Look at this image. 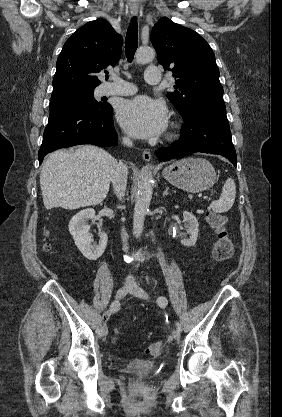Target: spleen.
<instances>
[{
  "instance_id": "3e777b00",
  "label": "spleen",
  "mask_w": 282,
  "mask_h": 417,
  "mask_svg": "<svg viewBox=\"0 0 282 417\" xmlns=\"http://www.w3.org/2000/svg\"><path fill=\"white\" fill-rule=\"evenodd\" d=\"M235 196L236 184L233 178H227L224 182L219 200H213L210 204L212 211H215V213H226V211H230L231 206L235 202Z\"/></svg>"
}]
</instances>
